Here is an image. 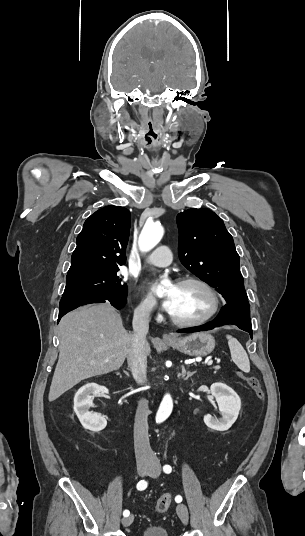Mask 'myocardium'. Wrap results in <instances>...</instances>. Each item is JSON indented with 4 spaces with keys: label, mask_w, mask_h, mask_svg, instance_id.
I'll list each match as a JSON object with an SVG mask.
<instances>
[{
    "label": "myocardium",
    "mask_w": 305,
    "mask_h": 536,
    "mask_svg": "<svg viewBox=\"0 0 305 536\" xmlns=\"http://www.w3.org/2000/svg\"><path fill=\"white\" fill-rule=\"evenodd\" d=\"M186 284H198L206 288L212 294L213 299H214L213 310L207 316L200 318V319L183 318L169 311L168 314H169L170 319L178 325L187 326V327L202 326L211 322L213 319H215L219 315L223 307V300H222V296L220 292L210 282L206 281L203 278L196 277V276L183 277L177 283V285H186Z\"/></svg>",
    "instance_id": "f54148a6"
}]
</instances>
